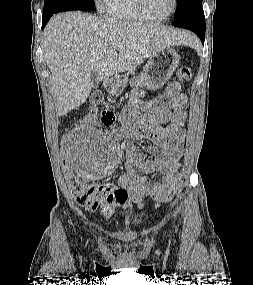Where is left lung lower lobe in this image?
<instances>
[{"instance_id":"left-lung-lower-lobe-1","label":"left lung lower lobe","mask_w":253,"mask_h":285,"mask_svg":"<svg viewBox=\"0 0 253 285\" xmlns=\"http://www.w3.org/2000/svg\"><path fill=\"white\" fill-rule=\"evenodd\" d=\"M174 26L189 29L197 34L202 43L205 39V16L202 7L193 10L180 20L173 23Z\"/></svg>"}]
</instances>
